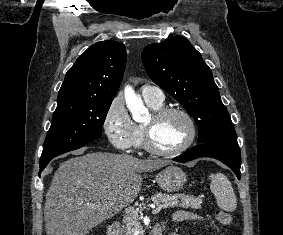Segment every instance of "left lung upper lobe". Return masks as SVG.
<instances>
[{"label":"left lung upper lobe","mask_w":283,"mask_h":235,"mask_svg":"<svg viewBox=\"0 0 283 235\" xmlns=\"http://www.w3.org/2000/svg\"><path fill=\"white\" fill-rule=\"evenodd\" d=\"M142 61L153 82L194 118L199 143L236 138L212 72L186 38L174 36L146 46Z\"/></svg>","instance_id":"5c2ea615"}]
</instances>
